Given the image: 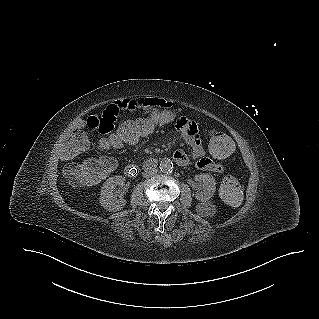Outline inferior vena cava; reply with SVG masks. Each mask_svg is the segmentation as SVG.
I'll list each match as a JSON object with an SVG mask.
<instances>
[{
	"mask_svg": "<svg viewBox=\"0 0 319 319\" xmlns=\"http://www.w3.org/2000/svg\"><path fill=\"white\" fill-rule=\"evenodd\" d=\"M157 171H158V170H157L156 168H152V169L146 171V172L143 174V176H144L145 178L150 177V176L156 174Z\"/></svg>",
	"mask_w": 319,
	"mask_h": 319,
	"instance_id": "obj_1",
	"label": "inferior vena cava"
}]
</instances>
